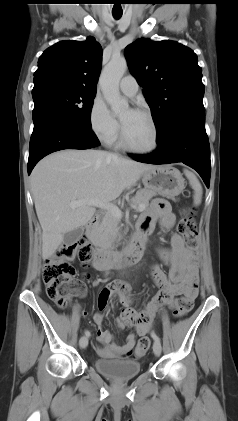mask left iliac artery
Here are the masks:
<instances>
[{
    "label": "left iliac artery",
    "mask_w": 238,
    "mask_h": 421,
    "mask_svg": "<svg viewBox=\"0 0 238 421\" xmlns=\"http://www.w3.org/2000/svg\"><path fill=\"white\" fill-rule=\"evenodd\" d=\"M151 336H152V338H153L155 341H159V342H160V338L156 335V333H155V332H152V333H151Z\"/></svg>",
    "instance_id": "44dca946"
}]
</instances>
